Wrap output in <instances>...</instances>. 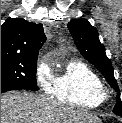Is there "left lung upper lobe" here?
Listing matches in <instances>:
<instances>
[{"instance_id": "5c2ea615", "label": "left lung upper lobe", "mask_w": 122, "mask_h": 123, "mask_svg": "<svg viewBox=\"0 0 122 123\" xmlns=\"http://www.w3.org/2000/svg\"><path fill=\"white\" fill-rule=\"evenodd\" d=\"M68 29L83 57L103 74L113 89L119 92L111 62L106 56L103 44L99 41L97 29L91 26L86 19L70 21L68 23ZM116 102L117 104L114 106L113 112L122 116V101L120 99V94L117 95Z\"/></svg>"}]
</instances>
